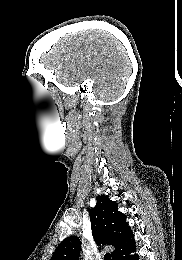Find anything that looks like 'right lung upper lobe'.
<instances>
[{
  "instance_id": "1",
  "label": "right lung upper lobe",
  "mask_w": 182,
  "mask_h": 260,
  "mask_svg": "<svg viewBox=\"0 0 182 260\" xmlns=\"http://www.w3.org/2000/svg\"><path fill=\"white\" fill-rule=\"evenodd\" d=\"M90 220L96 243L114 246L112 258L134 242L126 216L118 211V204L107 196L97 198L96 206L90 211ZM80 249L78 237H67L58 245L50 260H78Z\"/></svg>"
}]
</instances>
